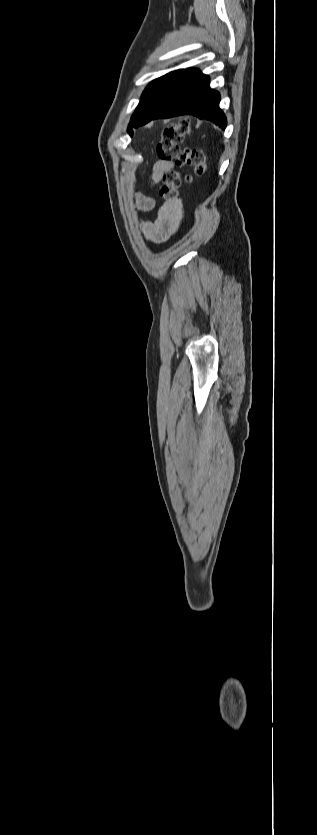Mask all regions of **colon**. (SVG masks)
Masks as SVG:
<instances>
[{
    "label": "colon",
    "mask_w": 317,
    "mask_h": 835,
    "mask_svg": "<svg viewBox=\"0 0 317 835\" xmlns=\"http://www.w3.org/2000/svg\"><path fill=\"white\" fill-rule=\"evenodd\" d=\"M190 133V122L182 119L176 124L167 126L163 132L160 142L157 145L156 153L162 161H172L178 166H189L195 176H203L207 172V163L204 152L199 148H180V144ZM191 175L183 176L177 171L171 170L164 174L163 185L160 189V196L168 206L174 205L179 196V189L183 180L190 181Z\"/></svg>",
    "instance_id": "5ec220e1"
}]
</instances>
